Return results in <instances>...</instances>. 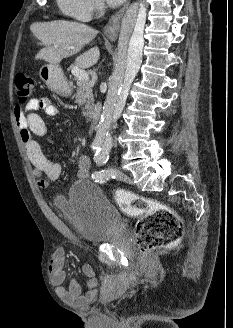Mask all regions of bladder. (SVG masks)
Returning <instances> with one entry per match:
<instances>
[{
    "mask_svg": "<svg viewBox=\"0 0 233 328\" xmlns=\"http://www.w3.org/2000/svg\"><path fill=\"white\" fill-rule=\"evenodd\" d=\"M55 204L63 218L87 241L102 242L119 232L127 235L117 208L91 181L74 182L65 196L55 199Z\"/></svg>",
    "mask_w": 233,
    "mask_h": 328,
    "instance_id": "obj_1",
    "label": "bladder"
}]
</instances>
